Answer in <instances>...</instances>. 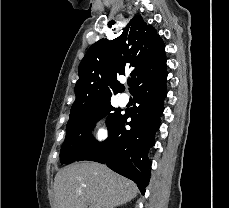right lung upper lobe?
I'll list each match as a JSON object with an SVG mask.
<instances>
[{
  "label": "right lung upper lobe",
  "mask_w": 229,
  "mask_h": 208,
  "mask_svg": "<svg viewBox=\"0 0 229 208\" xmlns=\"http://www.w3.org/2000/svg\"><path fill=\"white\" fill-rule=\"evenodd\" d=\"M165 45L141 15L134 16L122 34L112 41L94 43L79 65L75 85L76 100L70 118L87 114L98 104L108 101L124 89L117 76L129 72L130 91L159 74L166 65Z\"/></svg>",
  "instance_id": "obj_1"
}]
</instances>
